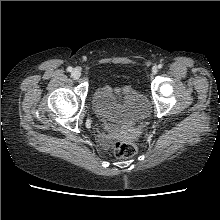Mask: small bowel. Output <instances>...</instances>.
I'll use <instances>...</instances> for the list:
<instances>
[{"label":"small bowel","instance_id":"c3829d8e","mask_svg":"<svg viewBox=\"0 0 220 220\" xmlns=\"http://www.w3.org/2000/svg\"><path fill=\"white\" fill-rule=\"evenodd\" d=\"M114 92L117 95V98L121 99L122 95L128 94V93L131 92V87L130 86H125L122 90L115 89ZM100 115H101L104 122L108 121L109 111L106 108H101L100 109Z\"/></svg>","mask_w":220,"mask_h":220}]
</instances>
